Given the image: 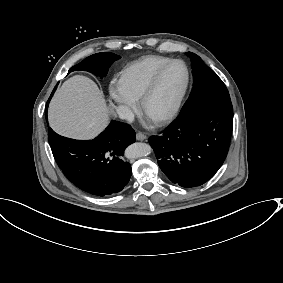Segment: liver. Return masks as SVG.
Listing matches in <instances>:
<instances>
[{"label":"liver","mask_w":283,"mask_h":283,"mask_svg":"<svg viewBox=\"0 0 283 283\" xmlns=\"http://www.w3.org/2000/svg\"><path fill=\"white\" fill-rule=\"evenodd\" d=\"M103 93L90 78L75 75L66 80L50 102V127L73 139H92L109 123Z\"/></svg>","instance_id":"1"}]
</instances>
